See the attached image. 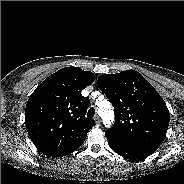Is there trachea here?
I'll list each match as a JSON object with an SVG mask.
<instances>
[{"label":"trachea","mask_w":184,"mask_h":184,"mask_svg":"<svg viewBox=\"0 0 184 184\" xmlns=\"http://www.w3.org/2000/svg\"><path fill=\"white\" fill-rule=\"evenodd\" d=\"M95 115V109L92 107L88 110L87 117L93 118Z\"/></svg>","instance_id":"3493384b"}]
</instances>
